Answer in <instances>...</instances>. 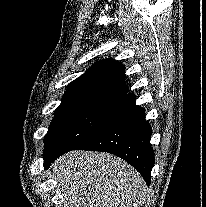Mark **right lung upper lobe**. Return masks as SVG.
I'll return each instance as SVG.
<instances>
[{
    "label": "right lung upper lobe",
    "instance_id": "obj_1",
    "mask_svg": "<svg viewBox=\"0 0 206 207\" xmlns=\"http://www.w3.org/2000/svg\"><path fill=\"white\" fill-rule=\"evenodd\" d=\"M124 71L125 67L113 59L96 62L68 85L63 101L129 96Z\"/></svg>",
    "mask_w": 206,
    "mask_h": 207
}]
</instances>
